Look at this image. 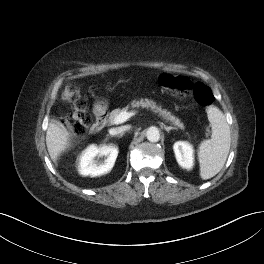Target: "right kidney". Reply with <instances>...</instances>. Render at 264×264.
<instances>
[{
	"label": "right kidney",
	"mask_w": 264,
	"mask_h": 264,
	"mask_svg": "<svg viewBox=\"0 0 264 264\" xmlns=\"http://www.w3.org/2000/svg\"><path fill=\"white\" fill-rule=\"evenodd\" d=\"M105 157L104 161L98 162L95 157ZM118 148L114 145L97 147L92 144L87 147L79 158L78 172L83 176H100L111 171L116 158Z\"/></svg>",
	"instance_id": "right-kidney-1"
}]
</instances>
